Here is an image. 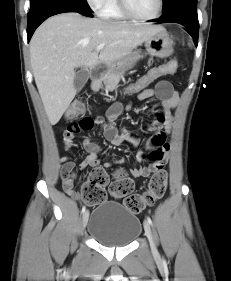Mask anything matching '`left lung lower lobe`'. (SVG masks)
<instances>
[{"label":"left lung lower lobe","mask_w":231,"mask_h":281,"mask_svg":"<svg viewBox=\"0 0 231 281\" xmlns=\"http://www.w3.org/2000/svg\"><path fill=\"white\" fill-rule=\"evenodd\" d=\"M163 15L152 22H174L187 28V32L194 38L195 45L198 43L199 22L197 15V0H178L171 6L163 9Z\"/></svg>","instance_id":"left-lung-lower-lobe-1"}]
</instances>
